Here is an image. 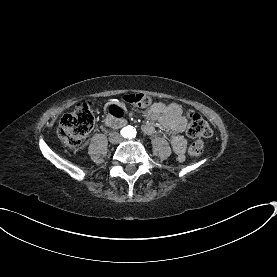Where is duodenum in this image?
<instances>
[{
	"instance_id": "duodenum-1",
	"label": "duodenum",
	"mask_w": 277,
	"mask_h": 277,
	"mask_svg": "<svg viewBox=\"0 0 277 277\" xmlns=\"http://www.w3.org/2000/svg\"><path fill=\"white\" fill-rule=\"evenodd\" d=\"M125 124L124 120L114 118V117H108L105 119V125L113 128L121 127Z\"/></svg>"
}]
</instances>
